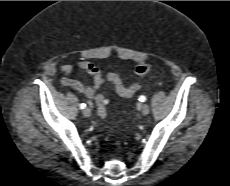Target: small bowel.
<instances>
[{
	"instance_id": "small-bowel-1",
	"label": "small bowel",
	"mask_w": 230,
	"mask_h": 186,
	"mask_svg": "<svg viewBox=\"0 0 230 186\" xmlns=\"http://www.w3.org/2000/svg\"><path fill=\"white\" fill-rule=\"evenodd\" d=\"M77 67L79 70L87 73L91 77L93 84L85 85L79 80L74 79L72 77L74 71L73 66H71L70 64H64L60 67L61 72L64 74V77L60 80L61 85L70 87L76 90L77 92L83 94L88 99L95 100V102H97L99 98H104V96L99 93V90L105 83V78L102 75L101 70L98 67H96L93 63L87 60L80 61L77 64ZM114 87L117 93L122 97L129 98L133 95V94L126 95L122 93V91L127 89L128 87L123 85L120 78H119L118 85H114Z\"/></svg>"
}]
</instances>
